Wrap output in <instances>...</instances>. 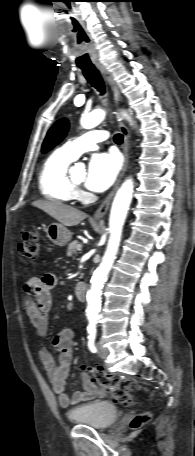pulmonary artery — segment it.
<instances>
[{"label":"pulmonary artery","instance_id":"obj_1","mask_svg":"<svg viewBox=\"0 0 195 456\" xmlns=\"http://www.w3.org/2000/svg\"><path fill=\"white\" fill-rule=\"evenodd\" d=\"M108 138L106 131L93 130L66 142L60 149L71 159H77L82 153L95 150L98 144Z\"/></svg>","mask_w":195,"mask_h":456}]
</instances>
